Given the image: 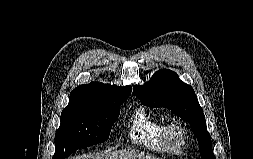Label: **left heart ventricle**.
<instances>
[{"label": "left heart ventricle", "instance_id": "left-heart-ventricle-1", "mask_svg": "<svg viewBox=\"0 0 253 159\" xmlns=\"http://www.w3.org/2000/svg\"><path fill=\"white\" fill-rule=\"evenodd\" d=\"M172 144L175 146V147H179L180 146V139L177 137V136H174L172 138Z\"/></svg>", "mask_w": 253, "mask_h": 159}]
</instances>
